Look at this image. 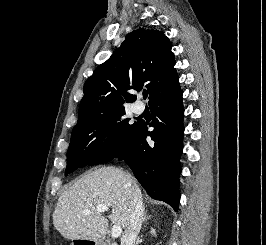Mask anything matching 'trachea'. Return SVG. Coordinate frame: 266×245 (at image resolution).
<instances>
[{
	"label": "trachea",
	"mask_w": 266,
	"mask_h": 245,
	"mask_svg": "<svg viewBox=\"0 0 266 245\" xmlns=\"http://www.w3.org/2000/svg\"><path fill=\"white\" fill-rule=\"evenodd\" d=\"M143 98L146 99L147 98V92L143 93Z\"/></svg>",
	"instance_id": "1"
}]
</instances>
